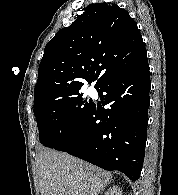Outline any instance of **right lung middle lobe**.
I'll use <instances>...</instances> for the list:
<instances>
[{
  "label": "right lung middle lobe",
  "mask_w": 178,
  "mask_h": 195,
  "mask_svg": "<svg viewBox=\"0 0 178 195\" xmlns=\"http://www.w3.org/2000/svg\"><path fill=\"white\" fill-rule=\"evenodd\" d=\"M93 103L84 100L79 92L47 100L34 108L40 143L54 148L71 135L77 122Z\"/></svg>",
  "instance_id": "dd1d6c3e"
}]
</instances>
